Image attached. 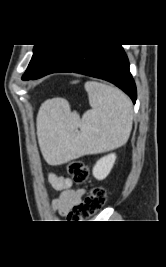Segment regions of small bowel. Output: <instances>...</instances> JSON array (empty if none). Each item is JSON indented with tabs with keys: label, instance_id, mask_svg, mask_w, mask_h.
<instances>
[{
	"label": "small bowel",
	"instance_id": "1",
	"mask_svg": "<svg viewBox=\"0 0 166 267\" xmlns=\"http://www.w3.org/2000/svg\"><path fill=\"white\" fill-rule=\"evenodd\" d=\"M49 183L60 195L54 200L53 207L59 214H65L77 205L82 198L83 189L74 188L71 179L49 172L47 175Z\"/></svg>",
	"mask_w": 166,
	"mask_h": 267
}]
</instances>
